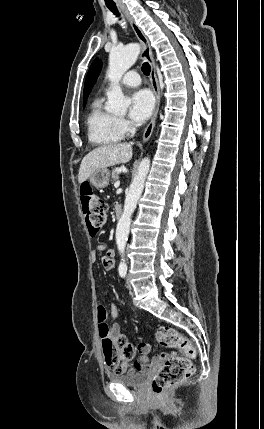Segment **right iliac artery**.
I'll return each instance as SVG.
<instances>
[{
  "instance_id": "right-iliac-artery-1",
  "label": "right iliac artery",
  "mask_w": 264,
  "mask_h": 429,
  "mask_svg": "<svg viewBox=\"0 0 264 429\" xmlns=\"http://www.w3.org/2000/svg\"><path fill=\"white\" fill-rule=\"evenodd\" d=\"M127 269L126 268H119V275L124 278L126 276Z\"/></svg>"
}]
</instances>
